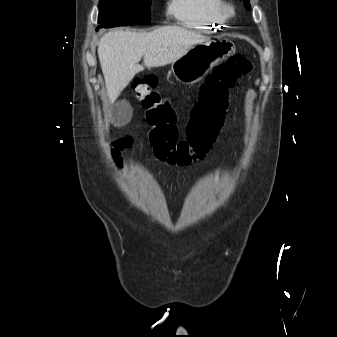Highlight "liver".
I'll list each match as a JSON object with an SVG mask.
<instances>
[{"instance_id": "6515ba94", "label": "liver", "mask_w": 337, "mask_h": 337, "mask_svg": "<svg viewBox=\"0 0 337 337\" xmlns=\"http://www.w3.org/2000/svg\"><path fill=\"white\" fill-rule=\"evenodd\" d=\"M207 37L182 27L165 26L151 32L112 31L98 44V57L109 99L115 101L132 78L144 70L173 63Z\"/></svg>"}]
</instances>
